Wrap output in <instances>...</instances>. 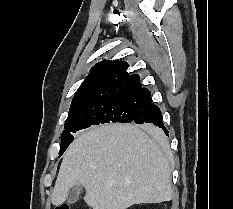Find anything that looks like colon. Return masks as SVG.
<instances>
[{"label":"colon","mask_w":233,"mask_h":209,"mask_svg":"<svg viewBox=\"0 0 233 209\" xmlns=\"http://www.w3.org/2000/svg\"><path fill=\"white\" fill-rule=\"evenodd\" d=\"M55 209H70L68 204H60Z\"/></svg>","instance_id":"1"}]
</instances>
